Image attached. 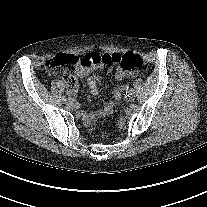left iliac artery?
I'll list each match as a JSON object with an SVG mask.
<instances>
[{
  "mask_svg": "<svg viewBox=\"0 0 207 207\" xmlns=\"http://www.w3.org/2000/svg\"><path fill=\"white\" fill-rule=\"evenodd\" d=\"M127 94H128L129 96H133V95L135 94V91H134L133 89H129V90L127 91Z\"/></svg>",
  "mask_w": 207,
  "mask_h": 207,
  "instance_id": "1",
  "label": "left iliac artery"
}]
</instances>
